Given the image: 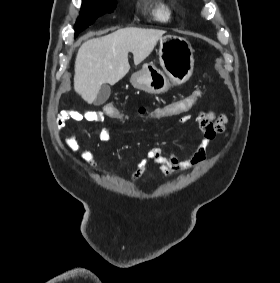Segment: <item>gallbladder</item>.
Here are the masks:
<instances>
[{
    "instance_id": "gallbladder-1",
    "label": "gallbladder",
    "mask_w": 280,
    "mask_h": 283,
    "mask_svg": "<svg viewBox=\"0 0 280 283\" xmlns=\"http://www.w3.org/2000/svg\"><path fill=\"white\" fill-rule=\"evenodd\" d=\"M111 94L110 86L103 84L98 92L96 99L94 100L95 105H101L107 101Z\"/></svg>"
}]
</instances>
